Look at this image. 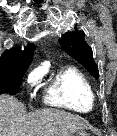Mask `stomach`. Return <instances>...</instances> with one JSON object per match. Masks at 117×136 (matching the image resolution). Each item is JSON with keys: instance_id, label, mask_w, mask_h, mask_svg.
I'll return each mask as SVG.
<instances>
[{"instance_id": "0dacf381", "label": "stomach", "mask_w": 117, "mask_h": 136, "mask_svg": "<svg viewBox=\"0 0 117 136\" xmlns=\"http://www.w3.org/2000/svg\"><path fill=\"white\" fill-rule=\"evenodd\" d=\"M74 136H88V134L85 131H77Z\"/></svg>"}]
</instances>
